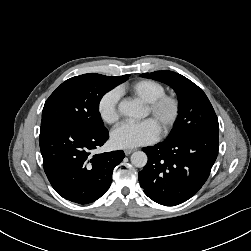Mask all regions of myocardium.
Segmentation results:
<instances>
[{
  "label": "myocardium",
  "instance_id": "myocardium-1",
  "mask_svg": "<svg viewBox=\"0 0 251 251\" xmlns=\"http://www.w3.org/2000/svg\"><path fill=\"white\" fill-rule=\"evenodd\" d=\"M164 108H168V115L159 129L161 136L168 134L176 124L180 115V101L176 96L164 93L146 103V109L151 117L158 116Z\"/></svg>",
  "mask_w": 251,
  "mask_h": 251
}]
</instances>
